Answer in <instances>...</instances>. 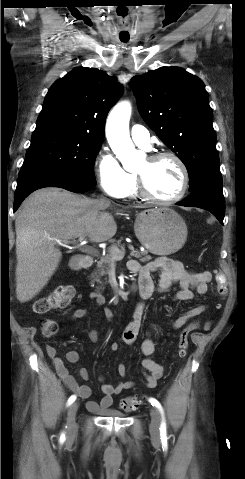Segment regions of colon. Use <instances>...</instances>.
Returning <instances> with one entry per match:
<instances>
[{"instance_id":"colon-1","label":"colon","mask_w":245,"mask_h":479,"mask_svg":"<svg viewBox=\"0 0 245 479\" xmlns=\"http://www.w3.org/2000/svg\"><path fill=\"white\" fill-rule=\"evenodd\" d=\"M217 293L226 295V286L221 276L217 279ZM75 297V290L71 285H60L48 296L38 299L33 304V312L44 314L52 309H62L70 305ZM199 327L198 322L188 324L180 333L178 340V356L185 357L189 346L190 334ZM41 330L44 336H54L58 332V323L54 319L45 318L41 322ZM136 398H124L120 401V408L125 412L134 411L139 406Z\"/></svg>"}]
</instances>
